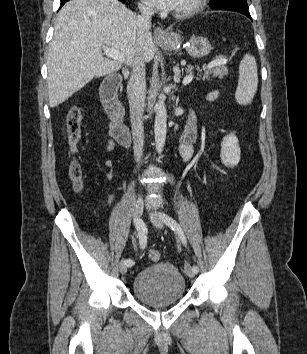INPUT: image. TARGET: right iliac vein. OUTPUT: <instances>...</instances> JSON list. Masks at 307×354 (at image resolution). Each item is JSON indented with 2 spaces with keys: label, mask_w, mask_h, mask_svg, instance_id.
Masks as SVG:
<instances>
[{
  "label": "right iliac vein",
  "mask_w": 307,
  "mask_h": 354,
  "mask_svg": "<svg viewBox=\"0 0 307 354\" xmlns=\"http://www.w3.org/2000/svg\"><path fill=\"white\" fill-rule=\"evenodd\" d=\"M143 206L144 202L141 198H139L136 203H135V209H134V222L136 224L137 221L141 220V216L143 213ZM125 260H122L119 264V270L121 274H126L128 266L124 262Z\"/></svg>",
  "instance_id": "1"
}]
</instances>
